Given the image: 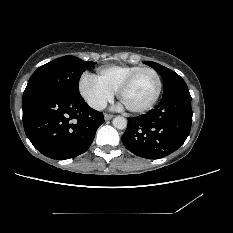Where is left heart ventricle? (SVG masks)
<instances>
[{
	"instance_id": "obj_1",
	"label": "left heart ventricle",
	"mask_w": 233,
	"mask_h": 233,
	"mask_svg": "<svg viewBox=\"0 0 233 233\" xmlns=\"http://www.w3.org/2000/svg\"><path fill=\"white\" fill-rule=\"evenodd\" d=\"M156 88L155 75L152 72H144L123 93L121 103L125 107H142L154 97Z\"/></svg>"
}]
</instances>
